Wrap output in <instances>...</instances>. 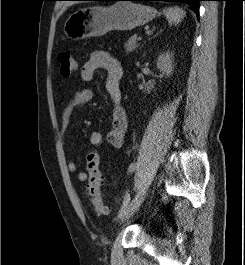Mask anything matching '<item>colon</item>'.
<instances>
[{"instance_id":"colon-1","label":"colon","mask_w":245,"mask_h":265,"mask_svg":"<svg viewBox=\"0 0 245 265\" xmlns=\"http://www.w3.org/2000/svg\"><path fill=\"white\" fill-rule=\"evenodd\" d=\"M60 71L65 77L71 76L77 68L76 61L69 51L62 52L59 55ZM86 170L88 173V192L92 198L95 211L98 214H106L109 209L104 204L100 192L102 184V173L99 168V155L96 150H90L86 156Z\"/></svg>"}]
</instances>
